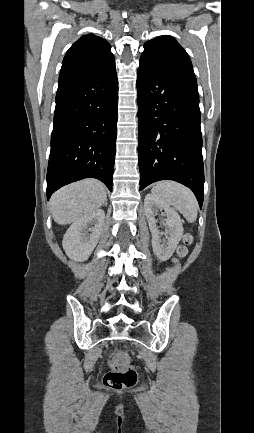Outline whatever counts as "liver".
I'll list each match as a JSON object with an SVG mask.
<instances>
[{"mask_svg": "<svg viewBox=\"0 0 254 433\" xmlns=\"http://www.w3.org/2000/svg\"><path fill=\"white\" fill-rule=\"evenodd\" d=\"M107 201L106 188L95 179H85L55 192L50 200L54 221L70 224L100 208Z\"/></svg>", "mask_w": 254, "mask_h": 433, "instance_id": "liver-1", "label": "liver"}]
</instances>
